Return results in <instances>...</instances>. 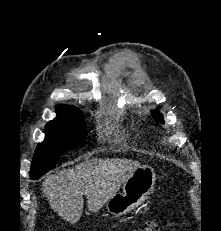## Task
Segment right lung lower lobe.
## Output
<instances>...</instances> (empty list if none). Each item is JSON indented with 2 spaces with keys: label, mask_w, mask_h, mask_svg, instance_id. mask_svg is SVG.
Returning a JSON list of instances; mask_svg holds the SVG:
<instances>
[{
  "label": "right lung lower lobe",
  "mask_w": 221,
  "mask_h": 231,
  "mask_svg": "<svg viewBox=\"0 0 221 231\" xmlns=\"http://www.w3.org/2000/svg\"><path fill=\"white\" fill-rule=\"evenodd\" d=\"M41 174H38V173H33V172H30V176L32 179H37L40 177Z\"/></svg>",
  "instance_id": "right-lung-lower-lobe-1"
}]
</instances>
